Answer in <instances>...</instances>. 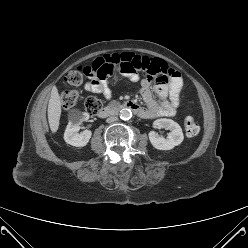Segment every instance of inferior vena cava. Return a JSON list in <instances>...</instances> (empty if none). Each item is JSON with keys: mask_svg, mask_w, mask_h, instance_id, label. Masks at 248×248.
I'll list each match as a JSON object with an SVG mask.
<instances>
[{"mask_svg": "<svg viewBox=\"0 0 248 248\" xmlns=\"http://www.w3.org/2000/svg\"><path fill=\"white\" fill-rule=\"evenodd\" d=\"M118 120V117L116 116H110L109 118H107L106 122L107 123H112Z\"/></svg>", "mask_w": 248, "mask_h": 248, "instance_id": "inferior-vena-cava-1", "label": "inferior vena cava"}]
</instances>
